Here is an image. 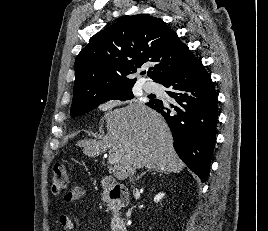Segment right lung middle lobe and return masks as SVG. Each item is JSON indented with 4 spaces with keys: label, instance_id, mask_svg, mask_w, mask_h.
Segmentation results:
<instances>
[{
    "label": "right lung middle lobe",
    "instance_id": "dd1d6c3e",
    "mask_svg": "<svg viewBox=\"0 0 268 231\" xmlns=\"http://www.w3.org/2000/svg\"><path fill=\"white\" fill-rule=\"evenodd\" d=\"M133 97L132 87L117 90L101 99L89 102H77L71 105V117H76L80 114H85L92 109H95L100 104L105 103L111 99L128 100Z\"/></svg>",
    "mask_w": 268,
    "mask_h": 231
}]
</instances>
